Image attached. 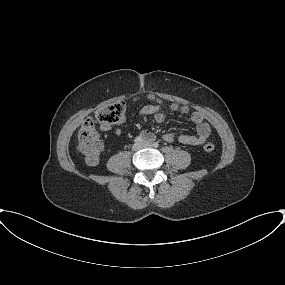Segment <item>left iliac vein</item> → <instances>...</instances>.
Returning a JSON list of instances; mask_svg holds the SVG:
<instances>
[{
  "label": "left iliac vein",
  "instance_id": "4c4485c4",
  "mask_svg": "<svg viewBox=\"0 0 285 285\" xmlns=\"http://www.w3.org/2000/svg\"><path fill=\"white\" fill-rule=\"evenodd\" d=\"M142 146H143V147H152L153 145H152V143L149 142V141H144V142L142 143Z\"/></svg>",
  "mask_w": 285,
  "mask_h": 285
}]
</instances>
